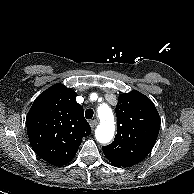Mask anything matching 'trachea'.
Instances as JSON below:
<instances>
[{
  "label": "trachea",
  "instance_id": "3493384b",
  "mask_svg": "<svg viewBox=\"0 0 194 194\" xmlns=\"http://www.w3.org/2000/svg\"><path fill=\"white\" fill-rule=\"evenodd\" d=\"M93 114H94V112H93L92 109H87V110L85 111V117H86L87 119H92Z\"/></svg>",
  "mask_w": 194,
  "mask_h": 194
}]
</instances>
